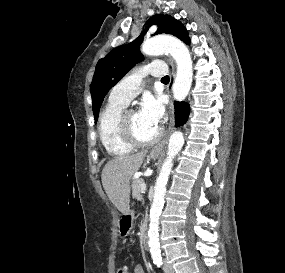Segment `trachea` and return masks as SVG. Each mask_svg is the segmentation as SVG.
<instances>
[{"instance_id": "3493384b", "label": "trachea", "mask_w": 285, "mask_h": 273, "mask_svg": "<svg viewBox=\"0 0 285 273\" xmlns=\"http://www.w3.org/2000/svg\"><path fill=\"white\" fill-rule=\"evenodd\" d=\"M161 80H169L168 76L163 77Z\"/></svg>"}]
</instances>
